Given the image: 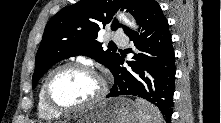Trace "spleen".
<instances>
[{
	"mask_svg": "<svg viewBox=\"0 0 221 123\" xmlns=\"http://www.w3.org/2000/svg\"><path fill=\"white\" fill-rule=\"evenodd\" d=\"M135 101L138 108L139 123H162L163 117L156 106L140 98Z\"/></svg>",
	"mask_w": 221,
	"mask_h": 123,
	"instance_id": "1",
	"label": "spleen"
}]
</instances>
